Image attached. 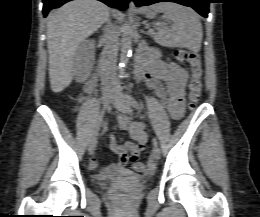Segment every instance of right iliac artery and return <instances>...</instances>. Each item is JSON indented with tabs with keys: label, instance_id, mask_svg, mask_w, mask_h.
<instances>
[{
	"label": "right iliac artery",
	"instance_id": "right-iliac-artery-1",
	"mask_svg": "<svg viewBox=\"0 0 260 217\" xmlns=\"http://www.w3.org/2000/svg\"><path fill=\"white\" fill-rule=\"evenodd\" d=\"M105 113V110L103 109L100 114L99 122L97 124L96 130H95V136L99 134V131L101 130V127L103 126V115Z\"/></svg>",
	"mask_w": 260,
	"mask_h": 217
}]
</instances>
